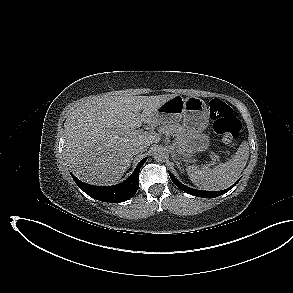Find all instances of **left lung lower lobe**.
<instances>
[{
  "label": "left lung lower lobe",
  "mask_w": 293,
  "mask_h": 293,
  "mask_svg": "<svg viewBox=\"0 0 293 293\" xmlns=\"http://www.w3.org/2000/svg\"><path fill=\"white\" fill-rule=\"evenodd\" d=\"M171 180L173 181V183L179 187L181 190L187 192L188 194H191L193 196H197V197H203V198H215L218 197L226 192H228L231 188H233L239 180H237L231 187L225 189V190H221V191H216V192H210V191H203V190H196V189H192L189 188L183 184H181L174 176L173 174L169 173Z\"/></svg>",
  "instance_id": "left-lung-lower-lobe-1"
}]
</instances>
